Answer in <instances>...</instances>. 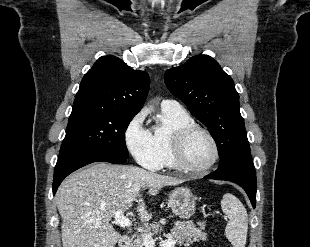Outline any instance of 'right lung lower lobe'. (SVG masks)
<instances>
[{
    "instance_id": "obj_1",
    "label": "right lung lower lobe",
    "mask_w": 310,
    "mask_h": 247,
    "mask_svg": "<svg viewBox=\"0 0 310 247\" xmlns=\"http://www.w3.org/2000/svg\"><path fill=\"white\" fill-rule=\"evenodd\" d=\"M127 158L119 157L107 153L76 151L60 155L54 169L53 179V195H55L57 188L73 171L93 162H110L113 164H123Z\"/></svg>"
}]
</instances>
